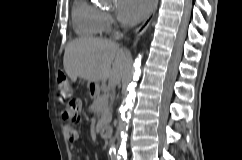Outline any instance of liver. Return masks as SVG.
<instances>
[{
    "label": "liver",
    "mask_w": 242,
    "mask_h": 160,
    "mask_svg": "<svg viewBox=\"0 0 242 160\" xmlns=\"http://www.w3.org/2000/svg\"><path fill=\"white\" fill-rule=\"evenodd\" d=\"M130 52L106 39L80 37L70 42L64 52L63 65L72 82L77 77L91 82L106 81L111 88L128 73Z\"/></svg>",
    "instance_id": "obj_1"
}]
</instances>
